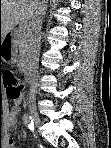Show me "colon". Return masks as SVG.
Here are the masks:
<instances>
[{"mask_svg": "<svg viewBox=\"0 0 111 148\" xmlns=\"http://www.w3.org/2000/svg\"><path fill=\"white\" fill-rule=\"evenodd\" d=\"M2 80L6 87L8 98L18 100L23 93V86L20 83L18 75L12 70H7L3 72Z\"/></svg>", "mask_w": 111, "mask_h": 148, "instance_id": "1", "label": "colon"}]
</instances>
